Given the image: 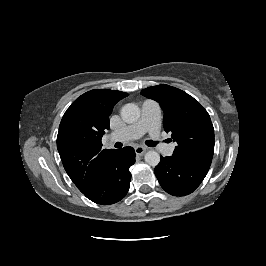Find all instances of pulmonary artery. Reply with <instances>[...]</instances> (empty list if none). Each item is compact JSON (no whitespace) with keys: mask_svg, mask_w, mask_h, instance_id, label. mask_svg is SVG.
Segmentation results:
<instances>
[{"mask_svg":"<svg viewBox=\"0 0 266 266\" xmlns=\"http://www.w3.org/2000/svg\"><path fill=\"white\" fill-rule=\"evenodd\" d=\"M161 108L156 101L145 100L142 104L140 119L128 125L121 131L111 134V138L119 137L123 141L137 139L144 133L149 132L152 138H160ZM174 143L161 142L159 150L164 155H171L174 151Z\"/></svg>","mask_w":266,"mask_h":266,"instance_id":"pulmonary-artery-1","label":"pulmonary artery"}]
</instances>
